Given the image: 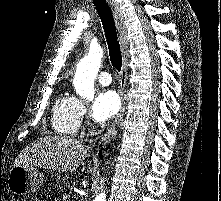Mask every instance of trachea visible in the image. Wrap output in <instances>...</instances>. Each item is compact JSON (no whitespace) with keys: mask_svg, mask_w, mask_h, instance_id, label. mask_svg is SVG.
Wrapping results in <instances>:
<instances>
[{"mask_svg":"<svg viewBox=\"0 0 221 201\" xmlns=\"http://www.w3.org/2000/svg\"><path fill=\"white\" fill-rule=\"evenodd\" d=\"M93 3L96 6L103 24L111 63L114 68L120 71L122 66V55L112 12L105 0H93Z\"/></svg>","mask_w":221,"mask_h":201,"instance_id":"1","label":"trachea"}]
</instances>
